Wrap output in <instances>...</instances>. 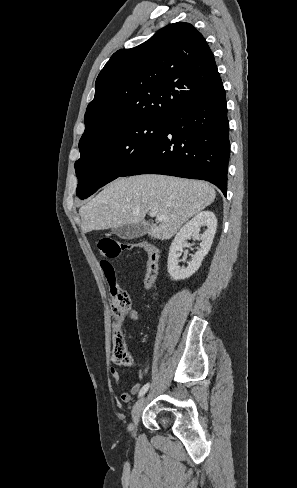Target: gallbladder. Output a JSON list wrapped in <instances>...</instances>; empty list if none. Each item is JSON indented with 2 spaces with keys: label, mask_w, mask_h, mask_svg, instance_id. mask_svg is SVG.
I'll use <instances>...</instances> for the list:
<instances>
[{
  "label": "gallbladder",
  "mask_w": 297,
  "mask_h": 488,
  "mask_svg": "<svg viewBox=\"0 0 297 488\" xmlns=\"http://www.w3.org/2000/svg\"><path fill=\"white\" fill-rule=\"evenodd\" d=\"M150 224L138 223L118 226L112 232L124 240L139 238L148 233Z\"/></svg>",
  "instance_id": "1"
}]
</instances>
